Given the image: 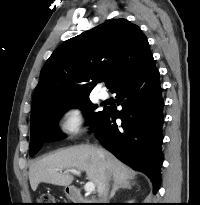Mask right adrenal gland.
<instances>
[{
  "label": "right adrenal gland",
  "instance_id": "2a0ac1e0",
  "mask_svg": "<svg viewBox=\"0 0 200 205\" xmlns=\"http://www.w3.org/2000/svg\"><path fill=\"white\" fill-rule=\"evenodd\" d=\"M120 188H126V189H131V185L129 183H119V182H114L109 199H112Z\"/></svg>",
  "mask_w": 200,
  "mask_h": 205
}]
</instances>
